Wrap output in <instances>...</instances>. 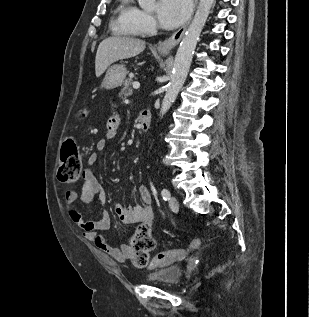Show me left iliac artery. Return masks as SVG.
I'll list each match as a JSON object with an SVG mask.
<instances>
[{
	"label": "left iliac artery",
	"mask_w": 309,
	"mask_h": 317,
	"mask_svg": "<svg viewBox=\"0 0 309 317\" xmlns=\"http://www.w3.org/2000/svg\"><path fill=\"white\" fill-rule=\"evenodd\" d=\"M161 196H162V198L165 200V201H167V200H169L170 199V192H169V190L168 189H162V191H161Z\"/></svg>",
	"instance_id": "left-iliac-artery-1"
}]
</instances>
